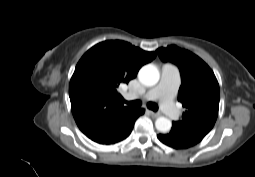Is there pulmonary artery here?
I'll use <instances>...</instances> for the list:
<instances>
[{
    "mask_svg": "<svg viewBox=\"0 0 255 177\" xmlns=\"http://www.w3.org/2000/svg\"><path fill=\"white\" fill-rule=\"evenodd\" d=\"M179 87V77L177 71L169 64L162 67L159 84L142 95L144 100H159L164 113L171 119L179 118V111L174 104V96Z\"/></svg>",
    "mask_w": 255,
    "mask_h": 177,
    "instance_id": "e3ab8cb5",
    "label": "pulmonary artery"
}]
</instances>
